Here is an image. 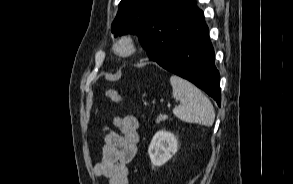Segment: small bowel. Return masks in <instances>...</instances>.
Wrapping results in <instances>:
<instances>
[{
	"mask_svg": "<svg viewBox=\"0 0 293 184\" xmlns=\"http://www.w3.org/2000/svg\"><path fill=\"white\" fill-rule=\"evenodd\" d=\"M113 124L120 130L117 133L108 127L103 128L101 160L93 168L94 175L105 179L108 184L129 183V163L137 153L139 120L135 115L117 116Z\"/></svg>",
	"mask_w": 293,
	"mask_h": 184,
	"instance_id": "c3829d8e",
	"label": "small bowel"
}]
</instances>
